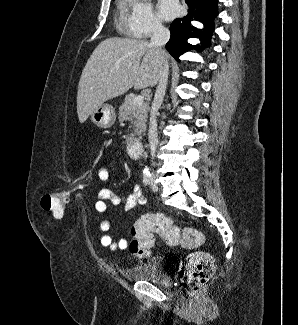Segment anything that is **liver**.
I'll use <instances>...</instances> for the list:
<instances>
[{"instance_id":"liver-1","label":"liver","mask_w":298,"mask_h":325,"mask_svg":"<svg viewBox=\"0 0 298 325\" xmlns=\"http://www.w3.org/2000/svg\"><path fill=\"white\" fill-rule=\"evenodd\" d=\"M163 56L146 38H105L94 48L80 76L77 90L79 122L95 108L129 88L155 86Z\"/></svg>"}]
</instances>
